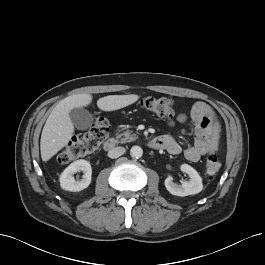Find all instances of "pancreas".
I'll return each instance as SVG.
<instances>
[{
    "label": "pancreas",
    "mask_w": 265,
    "mask_h": 265,
    "mask_svg": "<svg viewBox=\"0 0 265 265\" xmlns=\"http://www.w3.org/2000/svg\"><path fill=\"white\" fill-rule=\"evenodd\" d=\"M116 138L118 143H127L135 141L137 139V136L135 134H132L131 131H125L121 134H117Z\"/></svg>",
    "instance_id": "pancreas-1"
}]
</instances>
